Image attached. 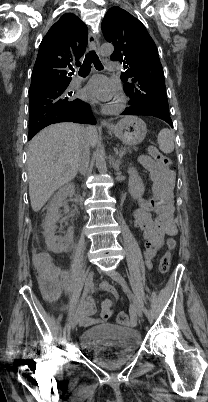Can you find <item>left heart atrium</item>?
<instances>
[{
    "mask_svg": "<svg viewBox=\"0 0 208 402\" xmlns=\"http://www.w3.org/2000/svg\"><path fill=\"white\" fill-rule=\"evenodd\" d=\"M115 92L113 82L103 75H95L80 90V97L87 102L106 101Z\"/></svg>",
    "mask_w": 208,
    "mask_h": 402,
    "instance_id": "39dd6f15",
    "label": "left heart atrium"
}]
</instances>
